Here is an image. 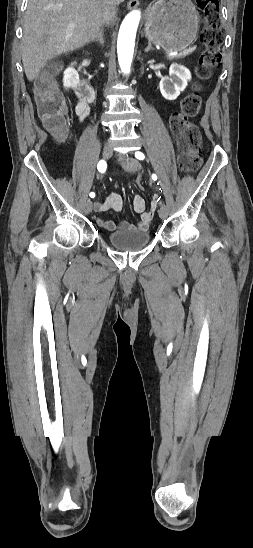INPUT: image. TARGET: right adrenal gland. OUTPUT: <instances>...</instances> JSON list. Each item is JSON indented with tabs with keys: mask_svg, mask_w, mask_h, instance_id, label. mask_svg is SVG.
Instances as JSON below:
<instances>
[{
	"mask_svg": "<svg viewBox=\"0 0 253 548\" xmlns=\"http://www.w3.org/2000/svg\"><path fill=\"white\" fill-rule=\"evenodd\" d=\"M91 42H99L101 45H104L103 31L101 30L97 37L92 39Z\"/></svg>",
	"mask_w": 253,
	"mask_h": 548,
	"instance_id": "2a0ac1e0",
	"label": "right adrenal gland"
}]
</instances>
